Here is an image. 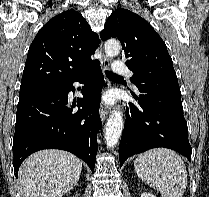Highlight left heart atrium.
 Instances as JSON below:
<instances>
[{
	"mask_svg": "<svg viewBox=\"0 0 209 197\" xmlns=\"http://www.w3.org/2000/svg\"><path fill=\"white\" fill-rule=\"evenodd\" d=\"M106 101H107L108 103H110V102L113 101V98H112L111 96H108V97H106Z\"/></svg>",
	"mask_w": 209,
	"mask_h": 197,
	"instance_id": "1",
	"label": "left heart atrium"
}]
</instances>
